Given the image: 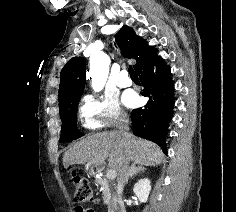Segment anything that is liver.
<instances>
[{
	"instance_id": "liver-1",
	"label": "liver",
	"mask_w": 236,
	"mask_h": 212,
	"mask_svg": "<svg viewBox=\"0 0 236 212\" xmlns=\"http://www.w3.org/2000/svg\"><path fill=\"white\" fill-rule=\"evenodd\" d=\"M127 152L130 161L142 166H155L164 160L162 150L154 143L127 133L105 131L81 139L63 156L64 168L74 164L100 167L108 158V166L118 171L121 157Z\"/></svg>"
}]
</instances>
